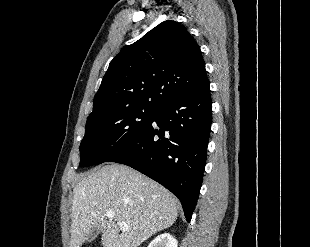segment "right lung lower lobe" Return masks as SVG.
I'll list each match as a JSON object with an SVG mask.
<instances>
[{
  "label": "right lung lower lobe",
  "instance_id": "obj_1",
  "mask_svg": "<svg viewBox=\"0 0 310 247\" xmlns=\"http://www.w3.org/2000/svg\"><path fill=\"white\" fill-rule=\"evenodd\" d=\"M209 82L156 110L138 138L109 162L128 165L171 191L187 222L197 203L212 123Z\"/></svg>",
  "mask_w": 310,
  "mask_h": 247
}]
</instances>
